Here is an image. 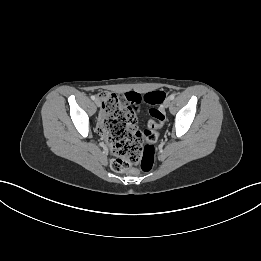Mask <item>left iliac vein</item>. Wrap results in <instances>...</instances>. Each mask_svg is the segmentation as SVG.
<instances>
[{"label":"left iliac vein","mask_w":261,"mask_h":261,"mask_svg":"<svg viewBox=\"0 0 261 261\" xmlns=\"http://www.w3.org/2000/svg\"><path fill=\"white\" fill-rule=\"evenodd\" d=\"M170 105H171V100H170V98H166L165 101H164V103H163V106H164L165 108H168Z\"/></svg>","instance_id":"1"}]
</instances>
